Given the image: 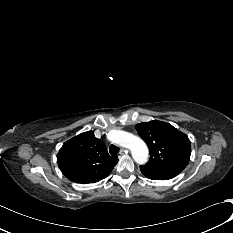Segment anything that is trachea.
Wrapping results in <instances>:
<instances>
[{
	"instance_id": "trachea-1",
	"label": "trachea",
	"mask_w": 233,
	"mask_h": 233,
	"mask_svg": "<svg viewBox=\"0 0 233 233\" xmlns=\"http://www.w3.org/2000/svg\"><path fill=\"white\" fill-rule=\"evenodd\" d=\"M119 150H120L119 147H117L115 145H110V147H109V152L111 155L118 154Z\"/></svg>"
}]
</instances>
